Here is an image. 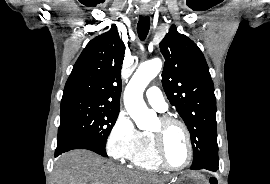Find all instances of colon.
<instances>
[{
	"mask_svg": "<svg viewBox=\"0 0 270 184\" xmlns=\"http://www.w3.org/2000/svg\"><path fill=\"white\" fill-rule=\"evenodd\" d=\"M209 184H218V182L215 178H210Z\"/></svg>",
	"mask_w": 270,
	"mask_h": 184,
	"instance_id": "obj_1",
	"label": "colon"
}]
</instances>
